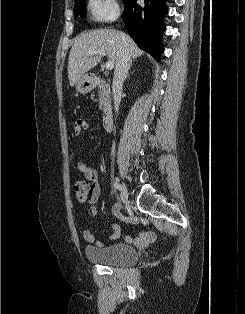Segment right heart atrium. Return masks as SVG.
<instances>
[{
	"label": "right heart atrium",
	"instance_id": "1",
	"mask_svg": "<svg viewBox=\"0 0 245 314\" xmlns=\"http://www.w3.org/2000/svg\"><path fill=\"white\" fill-rule=\"evenodd\" d=\"M88 10L91 19L100 23L113 21L119 15L116 0H88Z\"/></svg>",
	"mask_w": 245,
	"mask_h": 314
}]
</instances>
